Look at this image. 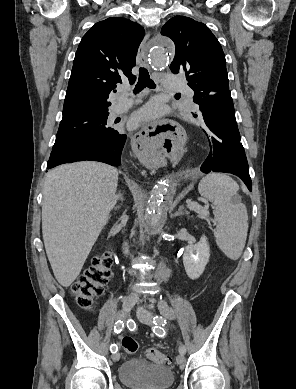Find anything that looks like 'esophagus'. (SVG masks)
Wrapping results in <instances>:
<instances>
[{"instance_id": "1", "label": "esophagus", "mask_w": 296, "mask_h": 389, "mask_svg": "<svg viewBox=\"0 0 296 389\" xmlns=\"http://www.w3.org/2000/svg\"><path fill=\"white\" fill-rule=\"evenodd\" d=\"M149 37L150 33L148 32L141 42L137 54V62L146 68H149L146 53V45ZM183 126L182 118H176L174 120H158L154 118L150 126L140 127L137 135H133L131 140L139 163H143L146 169H163L166 161L162 151L156 150L158 144L157 139H173L177 131H182Z\"/></svg>"}]
</instances>
